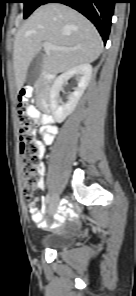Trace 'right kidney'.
<instances>
[{
    "mask_svg": "<svg viewBox=\"0 0 136 296\" xmlns=\"http://www.w3.org/2000/svg\"><path fill=\"white\" fill-rule=\"evenodd\" d=\"M91 75L92 66L89 63H84L72 67L56 78L50 90V103L52 114L57 122H63L65 118L74 111L89 84ZM74 76L78 81V86L75 88V91L69 95L68 101L64 103L60 98L59 92L63 84Z\"/></svg>",
    "mask_w": 136,
    "mask_h": 296,
    "instance_id": "ca27d5eb",
    "label": "right kidney"
}]
</instances>
